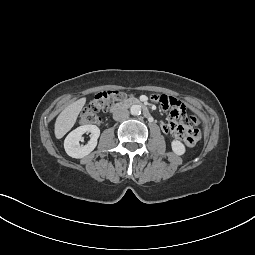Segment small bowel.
<instances>
[{"label":"small bowel","instance_id":"obj_1","mask_svg":"<svg viewBox=\"0 0 255 255\" xmlns=\"http://www.w3.org/2000/svg\"><path fill=\"white\" fill-rule=\"evenodd\" d=\"M173 99L177 105L174 104ZM161 107L170 116L168 122L161 123L162 130L173 134L174 139L184 145L197 146L199 143L198 128L186 114L185 105L174 97H164L161 100Z\"/></svg>","mask_w":255,"mask_h":255}]
</instances>
